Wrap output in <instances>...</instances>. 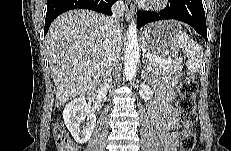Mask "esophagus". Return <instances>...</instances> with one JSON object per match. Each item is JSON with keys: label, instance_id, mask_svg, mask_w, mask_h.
Returning a JSON list of instances; mask_svg holds the SVG:
<instances>
[{"label": "esophagus", "instance_id": "obj_1", "mask_svg": "<svg viewBox=\"0 0 231 151\" xmlns=\"http://www.w3.org/2000/svg\"><path fill=\"white\" fill-rule=\"evenodd\" d=\"M126 19L130 20L135 13V6L129 0L126 1Z\"/></svg>", "mask_w": 231, "mask_h": 151}]
</instances>
